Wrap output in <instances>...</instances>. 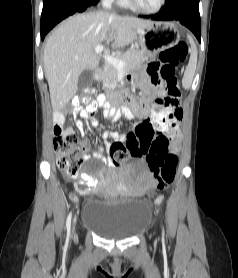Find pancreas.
Listing matches in <instances>:
<instances>
[{
	"instance_id": "cf45deb5",
	"label": "pancreas",
	"mask_w": 238,
	"mask_h": 278,
	"mask_svg": "<svg viewBox=\"0 0 238 278\" xmlns=\"http://www.w3.org/2000/svg\"><path fill=\"white\" fill-rule=\"evenodd\" d=\"M116 58L125 63L123 73L127 74L146 58V54L142 50L131 48L124 53H118ZM103 73V89H111L117 82L119 70L113 65L105 63Z\"/></svg>"
}]
</instances>
